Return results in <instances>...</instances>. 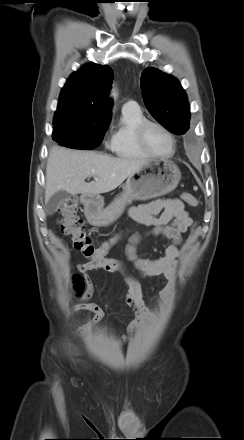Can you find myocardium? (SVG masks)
<instances>
[{
  "label": "myocardium",
  "mask_w": 244,
  "mask_h": 440,
  "mask_svg": "<svg viewBox=\"0 0 244 440\" xmlns=\"http://www.w3.org/2000/svg\"><path fill=\"white\" fill-rule=\"evenodd\" d=\"M150 126H155V127L160 128L170 138L171 143H172V150L170 153L164 154V155L155 154L148 149L146 142H145V132H146L147 128ZM134 136H135V140H136L137 145L142 149V151H144L149 156L168 157V156L173 155L176 151V139H175L173 133L167 127H165L163 124H161L157 121L148 120V119L141 121L135 128Z\"/></svg>",
  "instance_id": "f54148a6"
}]
</instances>
